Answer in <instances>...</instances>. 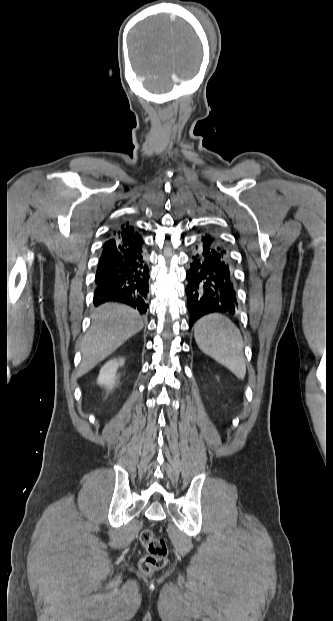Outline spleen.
Instances as JSON below:
<instances>
[{
  "label": "spleen",
  "instance_id": "1",
  "mask_svg": "<svg viewBox=\"0 0 333 621\" xmlns=\"http://www.w3.org/2000/svg\"><path fill=\"white\" fill-rule=\"evenodd\" d=\"M194 337L200 350L228 368L239 379L246 375L240 330L221 314L204 316L195 325Z\"/></svg>",
  "mask_w": 333,
  "mask_h": 621
}]
</instances>
